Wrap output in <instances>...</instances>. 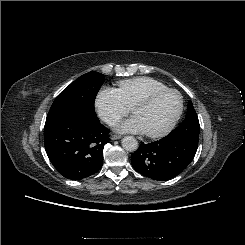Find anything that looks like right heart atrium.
<instances>
[{"instance_id": "right-heart-atrium-1", "label": "right heart atrium", "mask_w": 245, "mask_h": 245, "mask_svg": "<svg viewBox=\"0 0 245 245\" xmlns=\"http://www.w3.org/2000/svg\"><path fill=\"white\" fill-rule=\"evenodd\" d=\"M95 108L99 117L107 124H114L129 112L116 89L103 87L95 98Z\"/></svg>"}]
</instances>
